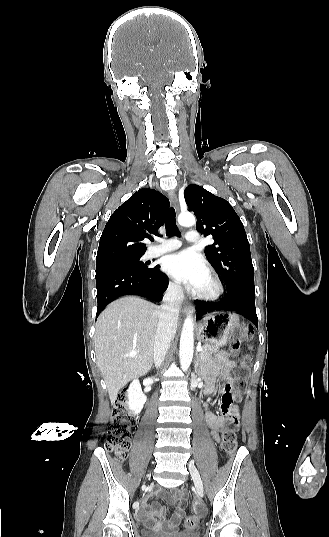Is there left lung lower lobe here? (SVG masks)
<instances>
[{
  "label": "left lung lower lobe",
  "instance_id": "obj_1",
  "mask_svg": "<svg viewBox=\"0 0 329 537\" xmlns=\"http://www.w3.org/2000/svg\"><path fill=\"white\" fill-rule=\"evenodd\" d=\"M197 314H206L216 311H231L244 316L248 321L258 326L255 308V289L237 288L227 292L218 302L198 301Z\"/></svg>",
  "mask_w": 329,
  "mask_h": 537
}]
</instances>
